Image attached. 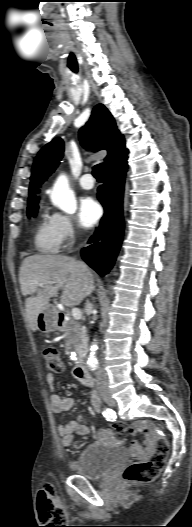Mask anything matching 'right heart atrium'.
Listing matches in <instances>:
<instances>
[{
    "label": "right heart atrium",
    "mask_w": 192,
    "mask_h": 527,
    "mask_svg": "<svg viewBox=\"0 0 192 527\" xmlns=\"http://www.w3.org/2000/svg\"><path fill=\"white\" fill-rule=\"evenodd\" d=\"M50 217L58 235L60 246L69 244L77 231L74 219L70 215L60 212H55Z\"/></svg>",
    "instance_id": "right-heart-atrium-1"
}]
</instances>
